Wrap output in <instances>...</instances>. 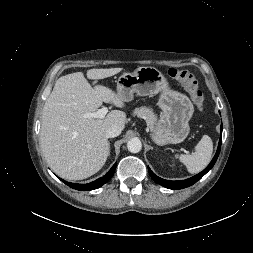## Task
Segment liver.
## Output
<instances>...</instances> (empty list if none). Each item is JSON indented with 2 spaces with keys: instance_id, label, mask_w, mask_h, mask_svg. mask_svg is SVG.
<instances>
[{
  "instance_id": "liver-1",
  "label": "liver",
  "mask_w": 253,
  "mask_h": 253,
  "mask_svg": "<svg viewBox=\"0 0 253 253\" xmlns=\"http://www.w3.org/2000/svg\"><path fill=\"white\" fill-rule=\"evenodd\" d=\"M122 68L90 69L87 78L104 79ZM123 108L125 100L112 89L92 87L82 72L60 77L47 98L42 112L40 144L50 168L60 177L82 180L97 173L109 156L106 130L112 125L124 129L126 114L112 110L103 119L83 118L102 103Z\"/></svg>"
}]
</instances>
